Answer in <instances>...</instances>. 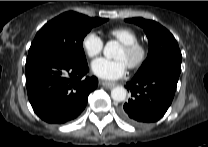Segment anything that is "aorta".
Here are the masks:
<instances>
[{
    "label": "aorta",
    "mask_w": 208,
    "mask_h": 147,
    "mask_svg": "<svg viewBox=\"0 0 208 147\" xmlns=\"http://www.w3.org/2000/svg\"><path fill=\"white\" fill-rule=\"evenodd\" d=\"M119 50V44L116 41H109L106 43L103 54L106 58L111 59L115 56L116 52ZM127 95V91L122 86H117L111 90V97L114 101L121 102L124 101Z\"/></svg>",
    "instance_id": "1"
}]
</instances>
